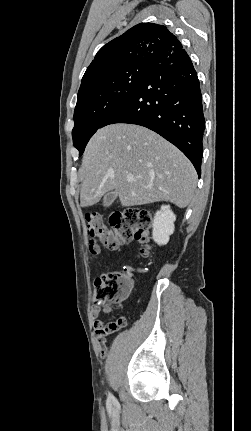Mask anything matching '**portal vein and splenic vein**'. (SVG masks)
I'll return each instance as SVG.
<instances>
[{"label": "portal vein and splenic vein", "mask_w": 251, "mask_h": 431, "mask_svg": "<svg viewBox=\"0 0 251 431\" xmlns=\"http://www.w3.org/2000/svg\"><path fill=\"white\" fill-rule=\"evenodd\" d=\"M127 180H128V181H130V182H131V181H134V176H128V177H127Z\"/></svg>", "instance_id": "1"}]
</instances>
